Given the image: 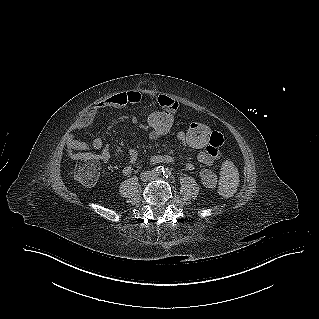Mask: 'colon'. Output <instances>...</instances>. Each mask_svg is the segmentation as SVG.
I'll list each match as a JSON object with an SVG mask.
<instances>
[{
  "label": "colon",
  "instance_id": "5ec220e1",
  "mask_svg": "<svg viewBox=\"0 0 319 319\" xmlns=\"http://www.w3.org/2000/svg\"><path fill=\"white\" fill-rule=\"evenodd\" d=\"M177 119L173 113H165L157 110L150 114L144 122V131L152 139H161L175 132ZM212 126L203 120H198L187 124L183 130V140L185 144L196 150H203L210 145ZM78 163L75 166L72 177L78 183L93 185L100 172L98 159L90 153L82 152L76 155ZM238 184L237 170L230 160H225L222 165V174L219 184V193L222 196L232 195Z\"/></svg>",
  "mask_w": 319,
  "mask_h": 319
}]
</instances>
